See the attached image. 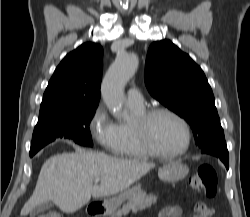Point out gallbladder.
Wrapping results in <instances>:
<instances>
[{"instance_id": "bac80fb5", "label": "gallbladder", "mask_w": 250, "mask_h": 217, "mask_svg": "<svg viewBox=\"0 0 250 217\" xmlns=\"http://www.w3.org/2000/svg\"><path fill=\"white\" fill-rule=\"evenodd\" d=\"M52 206H53V204H52V202H50V201H49V202L42 203V204L36 206V207L32 210V213H31V214H32L33 216H36V215H38V214H40V213H42V212H44V211L50 209Z\"/></svg>"}]
</instances>
